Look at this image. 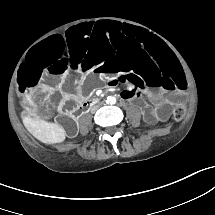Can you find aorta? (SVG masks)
Listing matches in <instances>:
<instances>
[{
  "label": "aorta",
  "instance_id": "762f6f07",
  "mask_svg": "<svg viewBox=\"0 0 215 215\" xmlns=\"http://www.w3.org/2000/svg\"><path fill=\"white\" fill-rule=\"evenodd\" d=\"M107 102L109 104H115L116 103V98L113 97V96H109V97H107Z\"/></svg>",
  "mask_w": 215,
  "mask_h": 215
}]
</instances>
